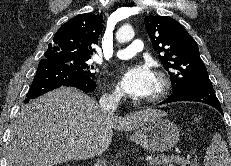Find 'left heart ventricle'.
<instances>
[{
    "label": "left heart ventricle",
    "instance_id": "b2bd125f",
    "mask_svg": "<svg viewBox=\"0 0 231 166\" xmlns=\"http://www.w3.org/2000/svg\"><path fill=\"white\" fill-rule=\"evenodd\" d=\"M155 89H156V79H155V81H154V86H153V89H152L151 94L155 91ZM151 94H150V95H151Z\"/></svg>",
    "mask_w": 231,
    "mask_h": 166
}]
</instances>
